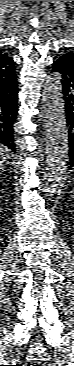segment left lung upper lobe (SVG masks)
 <instances>
[{
  "mask_svg": "<svg viewBox=\"0 0 74 366\" xmlns=\"http://www.w3.org/2000/svg\"><path fill=\"white\" fill-rule=\"evenodd\" d=\"M61 58H65L68 61L72 62L74 64V51L67 52L61 56Z\"/></svg>",
  "mask_w": 74,
  "mask_h": 366,
  "instance_id": "5c2ea615",
  "label": "left lung upper lobe"
}]
</instances>
